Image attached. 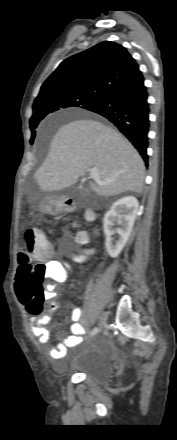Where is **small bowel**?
Wrapping results in <instances>:
<instances>
[{
  "label": "small bowel",
  "mask_w": 177,
  "mask_h": 440,
  "mask_svg": "<svg viewBox=\"0 0 177 440\" xmlns=\"http://www.w3.org/2000/svg\"><path fill=\"white\" fill-rule=\"evenodd\" d=\"M52 248V247H51ZM51 255L45 259V263L48 267L49 277L48 279L61 283L65 281L67 277L66 269L64 265L59 262L50 259ZM53 288L52 285H50ZM50 297L56 298L57 293L54 290L50 291ZM58 308L56 303L50 306V313ZM83 318V309L78 307L74 308L72 311L71 319L72 324L70 326L71 335L67 337L62 343L54 346L50 350V357L54 360L63 358L66 355L67 349L75 347L82 342L83 335L85 334V329L81 323ZM51 317L49 314L43 316L30 315V329L31 333L37 338L41 344H46L50 340V332L46 325L50 322Z\"/></svg>",
  "instance_id": "obj_1"
}]
</instances>
